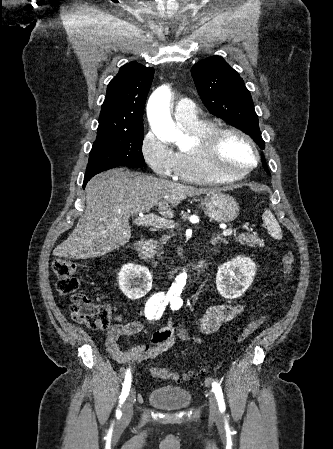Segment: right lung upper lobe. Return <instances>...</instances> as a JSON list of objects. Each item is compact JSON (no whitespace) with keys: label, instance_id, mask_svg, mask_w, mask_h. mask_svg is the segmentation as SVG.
I'll use <instances>...</instances> for the list:
<instances>
[{"label":"right lung upper lobe","instance_id":"1","mask_svg":"<svg viewBox=\"0 0 333 449\" xmlns=\"http://www.w3.org/2000/svg\"><path fill=\"white\" fill-rule=\"evenodd\" d=\"M154 69L131 62L122 66L107 87L97 132H136L143 128V112Z\"/></svg>","mask_w":333,"mask_h":449}]
</instances>
